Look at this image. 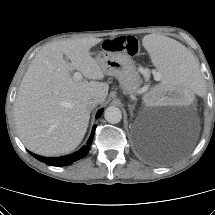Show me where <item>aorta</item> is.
Returning a JSON list of instances; mask_svg holds the SVG:
<instances>
[{"label": "aorta", "mask_w": 215, "mask_h": 215, "mask_svg": "<svg viewBox=\"0 0 215 215\" xmlns=\"http://www.w3.org/2000/svg\"><path fill=\"white\" fill-rule=\"evenodd\" d=\"M104 117L111 124L119 123L122 119V112L118 107L109 106L104 111Z\"/></svg>", "instance_id": "762f6f07"}]
</instances>
